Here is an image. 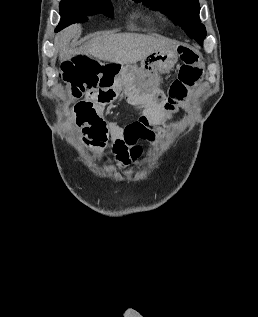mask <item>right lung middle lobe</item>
<instances>
[{
	"mask_svg": "<svg viewBox=\"0 0 258 317\" xmlns=\"http://www.w3.org/2000/svg\"><path fill=\"white\" fill-rule=\"evenodd\" d=\"M60 9H75L83 14L92 16L95 14L113 17V9L110 0H61Z\"/></svg>",
	"mask_w": 258,
	"mask_h": 317,
	"instance_id": "1",
	"label": "right lung middle lobe"
}]
</instances>
